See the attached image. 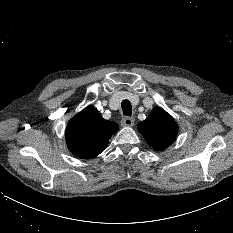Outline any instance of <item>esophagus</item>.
<instances>
[{"instance_id": "34e87169", "label": "esophagus", "mask_w": 233, "mask_h": 233, "mask_svg": "<svg viewBox=\"0 0 233 233\" xmlns=\"http://www.w3.org/2000/svg\"><path fill=\"white\" fill-rule=\"evenodd\" d=\"M121 125L123 127H131L134 125V118L132 117H124L122 120H121Z\"/></svg>"}]
</instances>
